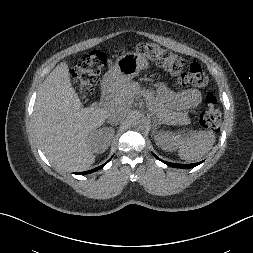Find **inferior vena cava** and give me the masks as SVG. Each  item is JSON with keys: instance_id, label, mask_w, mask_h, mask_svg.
Returning a JSON list of instances; mask_svg holds the SVG:
<instances>
[{"instance_id": "602c4592", "label": "inferior vena cava", "mask_w": 253, "mask_h": 253, "mask_svg": "<svg viewBox=\"0 0 253 253\" xmlns=\"http://www.w3.org/2000/svg\"><path fill=\"white\" fill-rule=\"evenodd\" d=\"M127 112V106L113 104L108 109V122L111 124H117L121 122L126 117Z\"/></svg>"}]
</instances>
